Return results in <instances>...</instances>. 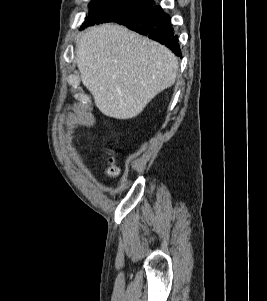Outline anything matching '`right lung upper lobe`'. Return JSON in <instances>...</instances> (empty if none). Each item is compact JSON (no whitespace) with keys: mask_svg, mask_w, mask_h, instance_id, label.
Wrapping results in <instances>:
<instances>
[{"mask_svg":"<svg viewBox=\"0 0 267 301\" xmlns=\"http://www.w3.org/2000/svg\"><path fill=\"white\" fill-rule=\"evenodd\" d=\"M148 1H151V2H152V4L154 3V2H153V0H148Z\"/></svg>","mask_w":267,"mask_h":301,"instance_id":"1","label":"right lung upper lobe"}]
</instances>
